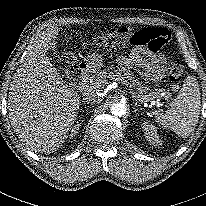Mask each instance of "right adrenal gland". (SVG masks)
Masks as SVG:
<instances>
[{
	"mask_svg": "<svg viewBox=\"0 0 206 206\" xmlns=\"http://www.w3.org/2000/svg\"><path fill=\"white\" fill-rule=\"evenodd\" d=\"M85 103L90 104V105H91V107H93V106H94V103H93V102H91L90 100L83 99L82 104H85Z\"/></svg>",
	"mask_w": 206,
	"mask_h": 206,
	"instance_id": "obj_1",
	"label": "right adrenal gland"
}]
</instances>
